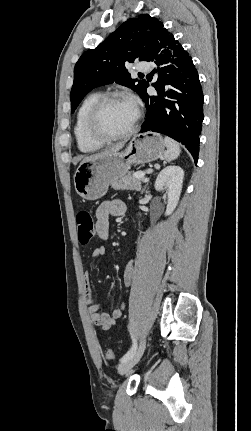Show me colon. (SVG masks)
I'll use <instances>...</instances> for the list:
<instances>
[{
    "label": "colon",
    "mask_w": 251,
    "mask_h": 431,
    "mask_svg": "<svg viewBox=\"0 0 251 431\" xmlns=\"http://www.w3.org/2000/svg\"><path fill=\"white\" fill-rule=\"evenodd\" d=\"M76 223L80 244H88L94 237L96 231L94 219L90 211L80 210L76 215ZM105 357L108 360H113L115 358V354L111 349H108L105 353Z\"/></svg>",
    "instance_id": "colon-1"
}]
</instances>
